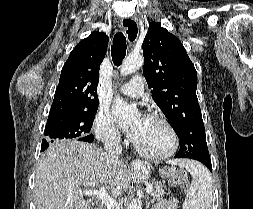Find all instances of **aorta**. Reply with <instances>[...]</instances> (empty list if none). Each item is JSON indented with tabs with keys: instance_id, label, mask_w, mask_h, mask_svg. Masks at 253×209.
I'll return each mask as SVG.
<instances>
[{
	"instance_id": "1",
	"label": "aorta",
	"mask_w": 253,
	"mask_h": 209,
	"mask_svg": "<svg viewBox=\"0 0 253 209\" xmlns=\"http://www.w3.org/2000/svg\"><path fill=\"white\" fill-rule=\"evenodd\" d=\"M143 65V57L141 55H129L120 66V74L128 76L135 73ZM112 113L117 118L121 127H127L137 115L135 105H130L122 98L117 96L112 105ZM129 209H142L140 200L133 199L129 205Z\"/></svg>"
}]
</instances>
